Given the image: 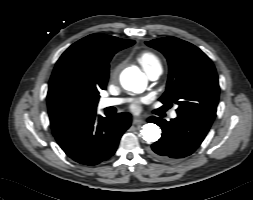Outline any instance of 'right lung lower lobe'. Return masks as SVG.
<instances>
[{
    "label": "right lung lower lobe",
    "instance_id": "1",
    "mask_svg": "<svg viewBox=\"0 0 253 200\" xmlns=\"http://www.w3.org/2000/svg\"><path fill=\"white\" fill-rule=\"evenodd\" d=\"M130 125L128 113L102 117L93 112L52 125V132L70 158L80 164L92 166L115 153L121 136Z\"/></svg>",
    "mask_w": 253,
    "mask_h": 200
}]
</instances>
